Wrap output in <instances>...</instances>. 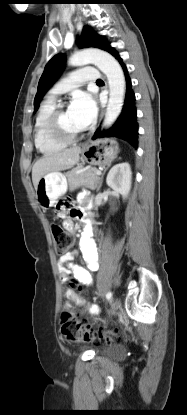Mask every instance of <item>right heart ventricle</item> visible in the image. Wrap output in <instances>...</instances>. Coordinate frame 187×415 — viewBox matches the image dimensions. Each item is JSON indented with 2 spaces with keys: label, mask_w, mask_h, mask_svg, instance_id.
Masks as SVG:
<instances>
[{
  "label": "right heart ventricle",
  "mask_w": 187,
  "mask_h": 415,
  "mask_svg": "<svg viewBox=\"0 0 187 415\" xmlns=\"http://www.w3.org/2000/svg\"><path fill=\"white\" fill-rule=\"evenodd\" d=\"M55 107V101L48 98L41 104L35 118L34 142L36 148L44 155L58 153L66 147V144L54 140L48 133V118Z\"/></svg>",
  "instance_id": "1"
}]
</instances>
